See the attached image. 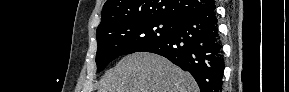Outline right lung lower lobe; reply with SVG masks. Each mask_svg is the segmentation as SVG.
<instances>
[{"instance_id": "98d812e1", "label": "right lung lower lobe", "mask_w": 289, "mask_h": 92, "mask_svg": "<svg viewBox=\"0 0 289 92\" xmlns=\"http://www.w3.org/2000/svg\"><path fill=\"white\" fill-rule=\"evenodd\" d=\"M215 8L179 18L170 37L140 51L159 54L190 72L201 92H220L224 60Z\"/></svg>"}]
</instances>
